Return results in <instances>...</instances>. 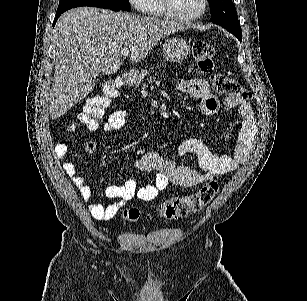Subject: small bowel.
Masks as SVG:
<instances>
[{"instance_id": "c3829d8e", "label": "small bowel", "mask_w": 307, "mask_h": 301, "mask_svg": "<svg viewBox=\"0 0 307 301\" xmlns=\"http://www.w3.org/2000/svg\"><path fill=\"white\" fill-rule=\"evenodd\" d=\"M178 88L200 100V109L206 115L216 114L221 106L232 109L237 108L241 116V128L238 134L236 147L232 155H215L197 139L183 141L178 148L181 156L195 154L201 168V172L195 171L187 166L178 165L174 160L163 157L157 152H147L136 162L138 168L146 171H156L157 175L152 184L137 188L136 182L128 179L121 185H110L105 194L108 198L118 199V202L104 205L90 202L93 192L80 175L77 174L76 165L73 161H65L63 169L70 177L73 184L78 188L80 196L84 201L90 202L88 210L96 220L111 219L120 207L126 202L138 197L143 201H152L164 190L168 184L191 188L203 184L207 180L222 178L235 171L247 159L253 145L256 133V121L252 106L245 100L236 96L218 98L211 93L209 84L204 79L181 80ZM127 118L125 110H117L109 115L102 127L105 133H112L121 129ZM78 124L72 122L66 128L68 134L73 133ZM96 148L94 141L86 144V151L92 154ZM69 148L66 142L61 141L55 147V153L59 159L66 158Z\"/></svg>"}]
</instances>
